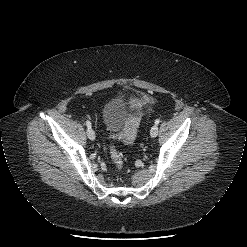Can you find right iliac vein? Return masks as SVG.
<instances>
[{"instance_id":"1","label":"right iliac vein","mask_w":247,"mask_h":247,"mask_svg":"<svg viewBox=\"0 0 247 247\" xmlns=\"http://www.w3.org/2000/svg\"><path fill=\"white\" fill-rule=\"evenodd\" d=\"M87 136L90 140H95V132L93 131V129L89 128L87 130Z\"/></svg>"}]
</instances>
